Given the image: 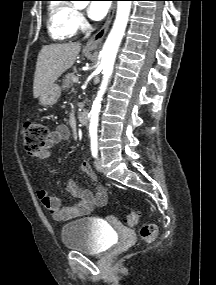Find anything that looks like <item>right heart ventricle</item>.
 <instances>
[{"label":"right heart ventricle","mask_w":216,"mask_h":285,"mask_svg":"<svg viewBox=\"0 0 216 285\" xmlns=\"http://www.w3.org/2000/svg\"><path fill=\"white\" fill-rule=\"evenodd\" d=\"M75 8L67 2L53 1L48 6V32L55 41L71 39L77 32Z\"/></svg>","instance_id":"right-heart-ventricle-1"}]
</instances>
